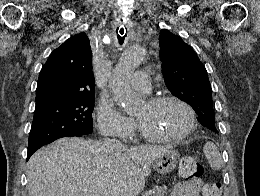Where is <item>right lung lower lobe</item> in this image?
<instances>
[{
  "label": "right lung lower lobe",
  "mask_w": 260,
  "mask_h": 196,
  "mask_svg": "<svg viewBox=\"0 0 260 196\" xmlns=\"http://www.w3.org/2000/svg\"><path fill=\"white\" fill-rule=\"evenodd\" d=\"M81 137V136H78ZM36 150H28V155H27V159L30 158V156L35 152Z\"/></svg>",
  "instance_id": "1"
}]
</instances>
